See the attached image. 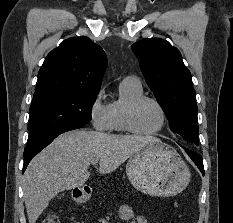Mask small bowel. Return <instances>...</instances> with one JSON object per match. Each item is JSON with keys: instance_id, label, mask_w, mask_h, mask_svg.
<instances>
[{"instance_id": "small-bowel-1", "label": "small bowel", "mask_w": 233, "mask_h": 223, "mask_svg": "<svg viewBox=\"0 0 233 223\" xmlns=\"http://www.w3.org/2000/svg\"><path fill=\"white\" fill-rule=\"evenodd\" d=\"M119 218L123 221L135 220V223H148L143 215L135 213L129 205H122L119 208Z\"/></svg>"}]
</instances>
